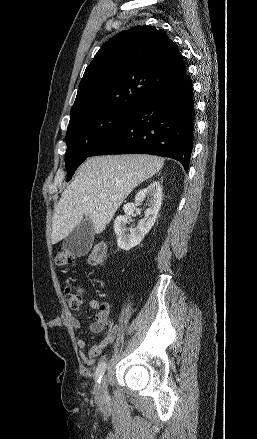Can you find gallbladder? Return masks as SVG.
I'll list each match as a JSON object with an SVG mask.
<instances>
[{
  "instance_id": "gallbladder-1",
  "label": "gallbladder",
  "mask_w": 257,
  "mask_h": 439,
  "mask_svg": "<svg viewBox=\"0 0 257 439\" xmlns=\"http://www.w3.org/2000/svg\"><path fill=\"white\" fill-rule=\"evenodd\" d=\"M94 240V228L91 220L82 221L63 241V248L70 254L80 257L91 249Z\"/></svg>"
}]
</instances>
